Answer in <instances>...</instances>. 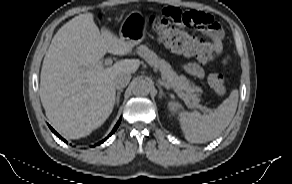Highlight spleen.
Returning <instances> with one entry per match:
<instances>
[{
    "label": "spleen",
    "instance_id": "1",
    "mask_svg": "<svg viewBox=\"0 0 292 184\" xmlns=\"http://www.w3.org/2000/svg\"><path fill=\"white\" fill-rule=\"evenodd\" d=\"M238 97V90L235 89L216 109L207 114L181 111L178 120L185 139L191 143H205L216 138L234 117Z\"/></svg>",
    "mask_w": 292,
    "mask_h": 184
}]
</instances>
